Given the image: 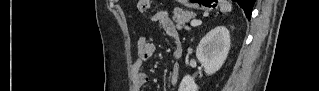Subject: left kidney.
I'll return each instance as SVG.
<instances>
[{
    "mask_svg": "<svg viewBox=\"0 0 319 91\" xmlns=\"http://www.w3.org/2000/svg\"><path fill=\"white\" fill-rule=\"evenodd\" d=\"M230 32L225 26L210 30L199 42L196 57L207 75L217 72L224 64L230 50ZM198 85L190 75L184 76L179 91H198Z\"/></svg>",
    "mask_w": 319,
    "mask_h": 91,
    "instance_id": "left-kidney-1",
    "label": "left kidney"
}]
</instances>
